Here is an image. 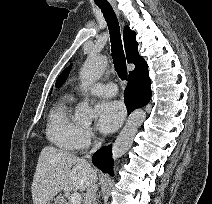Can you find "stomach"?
Segmentation results:
<instances>
[{
    "label": "stomach",
    "mask_w": 212,
    "mask_h": 204,
    "mask_svg": "<svg viewBox=\"0 0 212 204\" xmlns=\"http://www.w3.org/2000/svg\"><path fill=\"white\" fill-rule=\"evenodd\" d=\"M47 204H62L59 199H52L47 202Z\"/></svg>",
    "instance_id": "obj_1"
}]
</instances>
